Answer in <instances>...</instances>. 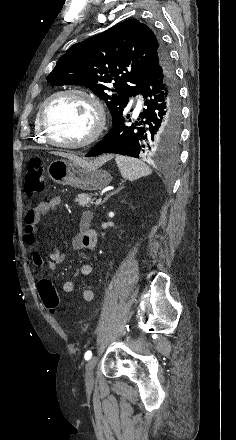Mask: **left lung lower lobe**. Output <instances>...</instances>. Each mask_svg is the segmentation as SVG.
I'll return each instance as SVG.
<instances>
[{
    "instance_id": "0a47b994",
    "label": "left lung lower lobe",
    "mask_w": 236,
    "mask_h": 440,
    "mask_svg": "<svg viewBox=\"0 0 236 440\" xmlns=\"http://www.w3.org/2000/svg\"><path fill=\"white\" fill-rule=\"evenodd\" d=\"M137 94L143 95L146 106L137 121L129 124L130 114H126V106L113 119L109 133L86 157L116 153L138 158L145 152L156 150L160 144L171 146L177 141L181 119L179 90L167 52L151 60L132 96Z\"/></svg>"
}]
</instances>
